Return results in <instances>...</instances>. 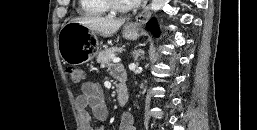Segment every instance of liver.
Masks as SVG:
<instances>
[{
    "label": "liver",
    "instance_id": "1",
    "mask_svg": "<svg viewBox=\"0 0 257 130\" xmlns=\"http://www.w3.org/2000/svg\"><path fill=\"white\" fill-rule=\"evenodd\" d=\"M90 30H94L103 37L112 36L124 24L125 19H113L109 17H80L72 19Z\"/></svg>",
    "mask_w": 257,
    "mask_h": 130
}]
</instances>
